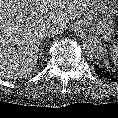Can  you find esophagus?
<instances>
[{"mask_svg": "<svg viewBox=\"0 0 118 118\" xmlns=\"http://www.w3.org/2000/svg\"><path fill=\"white\" fill-rule=\"evenodd\" d=\"M73 31L80 37H84L86 34V21L78 20L73 25Z\"/></svg>", "mask_w": 118, "mask_h": 118, "instance_id": "34e87169", "label": "esophagus"}]
</instances>
